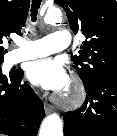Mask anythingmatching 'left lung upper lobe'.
<instances>
[{"mask_svg": "<svg viewBox=\"0 0 117 136\" xmlns=\"http://www.w3.org/2000/svg\"><path fill=\"white\" fill-rule=\"evenodd\" d=\"M67 14L74 34L82 33L80 56L73 57L84 86L99 77L117 73L116 0H55Z\"/></svg>", "mask_w": 117, "mask_h": 136, "instance_id": "5c2ea615", "label": "left lung upper lobe"}]
</instances>
